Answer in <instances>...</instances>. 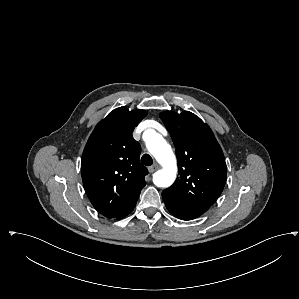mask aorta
I'll return each instance as SVG.
<instances>
[{"label": "aorta", "instance_id": "obj_1", "mask_svg": "<svg viewBox=\"0 0 299 299\" xmlns=\"http://www.w3.org/2000/svg\"><path fill=\"white\" fill-rule=\"evenodd\" d=\"M147 148L162 166V169L156 171L153 175L154 184L162 188L171 186L176 179L177 162L170 145L161 135L152 133L147 140Z\"/></svg>", "mask_w": 299, "mask_h": 299}]
</instances>
